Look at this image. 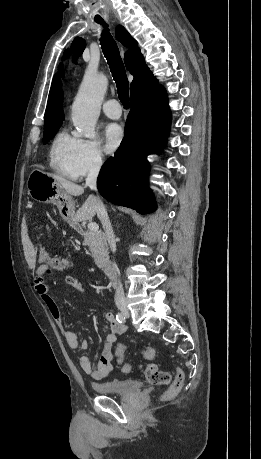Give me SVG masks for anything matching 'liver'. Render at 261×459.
I'll return each mask as SVG.
<instances>
[{"label":"liver","mask_w":261,"mask_h":459,"mask_svg":"<svg viewBox=\"0 0 261 459\" xmlns=\"http://www.w3.org/2000/svg\"><path fill=\"white\" fill-rule=\"evenodd\" d=\"M51 175L60 184V186L63 188L66 194L71 195V196H80L84 193V187L78 184H75L71 181H68L61 176H58L55 174H51ZM95 213H96V210H95L94 199H93V196L91 195L87 198L84 204L78 209V211L76 212L74 216V220L77 222L84 221V220H90L95 215ZM24 253H25V258L29 265V268L34 269L36 265V252L28 238L24 242Z\"/></svg>","instance_id":"obj_1"}]
</instances>
